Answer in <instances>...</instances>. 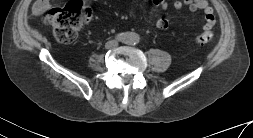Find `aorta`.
Wrapping results in <instances>:
<instances>
[{
  "label": "aorta",
  "mask_w": 253,
  "mask_h": 138,
  "mask_svg": "<svg viewBox=\"0 0 253 138\" xmlns=\"http://www.w3.org/2000/svg\"><path fill=\"white\" fill-rule=\"evenodd\" d=\"M123 41L126 44H130V45L136 44L140 41V36L135 32H126L123 35Z\"/></svg>",
  "instance_id": "obj_1"
}]
</instances>
